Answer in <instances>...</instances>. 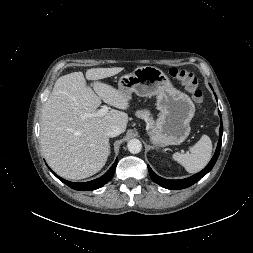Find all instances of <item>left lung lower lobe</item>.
Listing matches in <instances>:
<instances>
[{
    "label": "left lung lower lobe",
    "mask_w": 253,
    "mask_h": 253,
    "mask_svg": "<svg viewBox=\"0 0 253 253\" xmlns=\"http://www.w3.org/2000/svg\"><path fill=\"white\" fill-rule=\"evenodd\" d=\"M211 88H212V86H211ZM215 97H216V95H215ZM218 113L221 117L220 111H218ZM221 120H222V118H221ZM222 134H223V124L221 122L219 141H218V145H217L215 154H214L213 158L211 159V161L209 162V164L202 171H200L199 173H197V174H195L191 177L185 178V179L168 180V179H164V178L158 176L157 174H155L153 172V170L150 168V166L148 165V171H149L151 179L155 183L159 184L160 186H162L164 188H167V189H170V190L184 189V188H187V187L193 185L194 183L199 181L203 176H205L213 168V166L215 165V163L218 159L219 153H220V149H221Z\"/></svg>",
    "instance_id": "left-lung-lower-lobe-1"
}]
</instances>
